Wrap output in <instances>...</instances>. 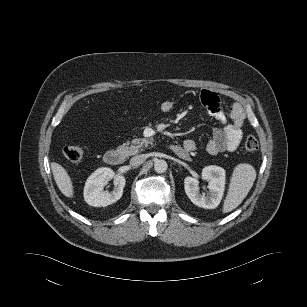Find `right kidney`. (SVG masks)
<instances>
[{
  "label": "right kidney",
  "mask_w": 307,
  "mask_h": 307,
  "mask_svg": "<svg viewBox=\"0 0 307 307\" xmlns=\"http://www.w3.org/2000/svg\"><path fill=\"white\" fill-rule=\"evenodd\" d=\"M112 178L114 179L113 191H103L104 186ZM125 183V177L115 174L112 169L99 168L88 177L85 183L84 199L91 206L106 207L122 197Z\"/></svg>",
  "instance_id": "obj_1"
}]
</instances>
